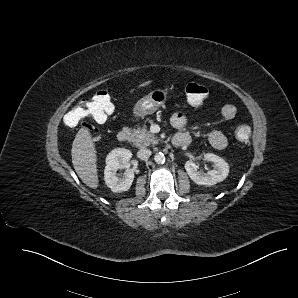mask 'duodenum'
<instances>
[{
  "mask_svg": "<svg viewBox=\"0 0 298 298\" xmlns=\"http://www.w3.org/2000/svg\"><path fill=\"white\" fill-rule=\"evenodd\" d=\"M131 132L128 128L121 129L117 134V139L119 142L127 143L130 141ZM191 138L188 134L177 133L172 138V143L174 146L182 148L190 144Z\"/></svg>",
  "mask_w": 298,
  "mask_h": 298,
  "instance_id": "duodenum-1",
  "label": "duodenum"
}]
</instances>
